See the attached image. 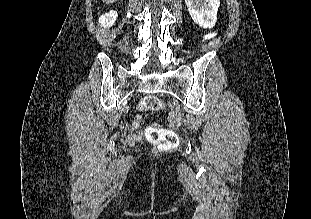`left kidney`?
<instances>
[{
	"mask_svg": "<svg viewBox=\"0 0 311 219\" xmlns=\"http://www.w3.org/2000/svg\"><path fill=\"white\" fill-rule=\"evenodd\" d=\"M185 3L196 24L205 29L215 26L220 0H185Z\"/></svg>",
	"mask_w": 311,
	"mask_h": 219,
	"instance_id": "obj_1",
	"label": "left kidney"
}]
</instances>
